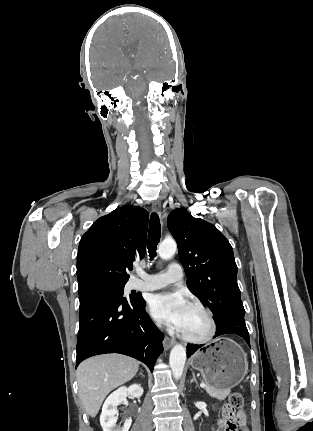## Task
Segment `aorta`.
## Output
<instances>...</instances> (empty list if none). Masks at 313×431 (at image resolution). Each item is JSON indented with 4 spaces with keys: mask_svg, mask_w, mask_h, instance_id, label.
Here are the masks:
<instances>
[{
    "mask_svg": "<svg viewBox=\"0 0 313 431\" xmlns=\"http://www.w3.org/2000/svg\"><path fill=\"white\" fill-rule=\"evenodd\" d=\"M176 250V242L172 239H168L160 243L158 247V254L162 259L168 260L174 256ZM185 361L186 349L180 344L175 345L172 348L169 357L170 368L172 370V374L175 380H179L181 378L184 370Z\"/></svg>",
    "mask_w": 313,
    "mask_h": 431,
    "instance_id": "1",
    "label": "aorta"
}]
</instances>
